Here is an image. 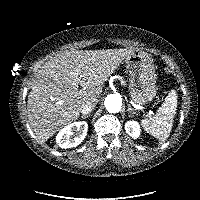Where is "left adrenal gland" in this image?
Returning a JSON list of instances; mask_svg holds the SVG:
<instances>
[{
  "label": "left adrenal gland",
  "mask_w": 200,
  "mask_h": 200,
  "mask_svg": "<svg viewBox=\"0 0 200 200\" xmlns=\"http://www.w3.org/2000/svg\"><path fill=\"white\" fill-rule=\"evenodd\" d=\"M127 111H128L129 117H131V114H136L135 110L130 105H128Z\"/></svg>",
  "instance_id": "1"
}]
</instances>
